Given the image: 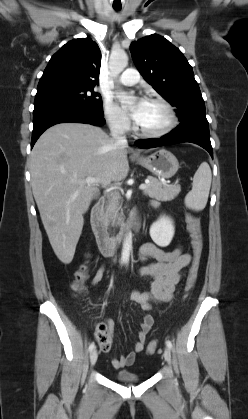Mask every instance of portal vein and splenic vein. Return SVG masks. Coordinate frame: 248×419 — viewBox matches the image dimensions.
Listing matches in <instances>:
<instances>
[{"label": "portal vein and splenic vein", "instance_id": "portal-vein-and-splenic-vein-1", "mask_svg": "<svg viewBox=\"0 0 248 419\" xmlns=\"http://www.w3.org/2000/svg\"><path fill=\"white\" fill-rule=\"evenodd\" d=\"M99 180L93 177H87L85 180L81 181V183H88V184H94L97 183ZM147 188V184H141L139 186L140 190H144Z\"/></svg>", "mask_w": 248, "mask_h": 419}]
</instances>
